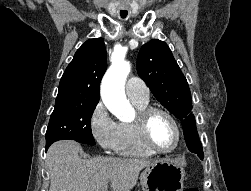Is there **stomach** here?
Listing matches in <instances>:
<instances>
[{"mask_svg": "<svg viewBox=\"0 0 251 191\" xmlns=\"http://www.w3.org/2000/svg\"><path fill=\"white\" fill-rule=\"evenodd\" d=\"M185 169L167 159H154L140 173L143 191H183Z\"/></svg>", "mask_w": 251, "mask_h": 191, "instance_id": "obj_1", "label": "stomach"}]
</instances>
